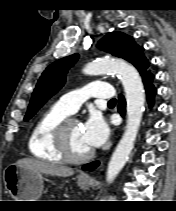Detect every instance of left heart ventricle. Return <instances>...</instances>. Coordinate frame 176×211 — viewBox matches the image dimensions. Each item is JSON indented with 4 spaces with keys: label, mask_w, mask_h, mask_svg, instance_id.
I'll return each mask as SVG.
<instances>
[{
    "label": "left heart ventricle",
    "mask_w": 176,
    "mask_h": 211,
    "mask_svg": "<svg viewBox=\"0 0 176 211\" xmlns=\"http://www.w3.org/2000/svg\"><path fill=\"white\" fill-rule=\"evenodd\" d=\"M67 133L69 145L73 153L79 155L91 150L83 138L82 126L78 121H73L69 124Z\"/></svg>",
    "instance_id": "1"
}]
</instances>
